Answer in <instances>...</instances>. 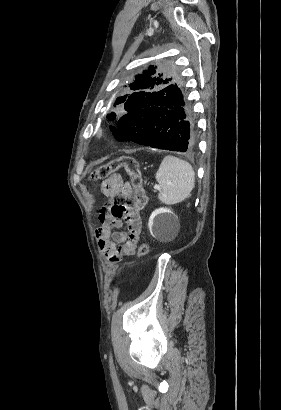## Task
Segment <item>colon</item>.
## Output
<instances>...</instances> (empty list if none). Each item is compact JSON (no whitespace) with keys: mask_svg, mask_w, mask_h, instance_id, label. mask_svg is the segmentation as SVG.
Instances as JSON below:
<instances>
[{"mask_svg":"<svg viewBox=\"0 0 281 410\" xmlns=\"http://www.w3.org/2000/svg\"><path fill=\"white\" fill-rule=\"evenodd\" d=\"M120 170H124L130 177L134 197L131 198L128 194H119L112 198L111 213L116 217L135 214L142 210L147 203V192L143 185V177L137 161L132 157H119L97 167L91 172V178L94 180H104ZM148 253L149 246L146 243L141 244L138 250V257L143 259Z\"/></svg>","mask_w":281,"mask_h":410,"instance_id":"1","label":"colon"}]
</instances>
